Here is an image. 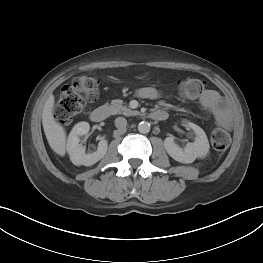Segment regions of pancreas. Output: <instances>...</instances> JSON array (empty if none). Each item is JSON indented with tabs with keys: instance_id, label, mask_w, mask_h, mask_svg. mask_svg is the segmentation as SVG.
Wrapping results in <instances>:
<instances>
[{
	"instance_id": "1",
	"label": "pancreas",
	"mask_w": 263,
	"mask_h": 263,
	"mask_svg": "<svg viewBox=\"0 0 263 263\" xmlns=\"http://www.w3.org/2000/svg\"><path fill=\"white\" fill-rule=\"evenodd\" d=\"M108 108L111 114L113 115L122 113L123 115L131 116V115H136L138 113L137 111H133L130 108L123 106V101L119 99L112 100L111 104L108 105Z\"/></svg>"
}]
</instances>
